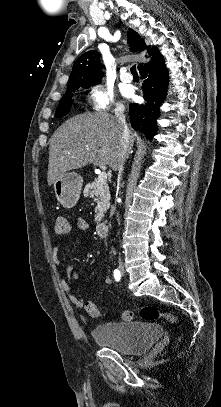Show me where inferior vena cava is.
Segmentation results:
<instances>
[{"label": "inferior vena cava", "instance_id": "602c4592", "mask_svg": "<svg viewBox=\"0 0 221 407\" xmlns=\"http://www.w3.org/2000/svg\"><path fill=\"white\" fill-rule=\"evenodd\" d=\"M124 111L125 107L121 104L118 105L115 109V117L122 128V137H121L122 154L118 164L116 165V171H118L119 180L123 172L124 162L130 152V131L126 124ZM119 260H121L120 257Z\"/></svg>", "mask_w": 221, "mask_h": 407}]
</instances>
